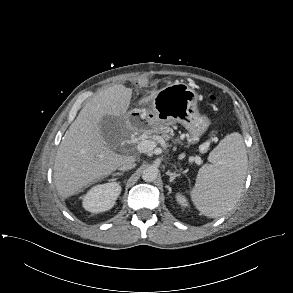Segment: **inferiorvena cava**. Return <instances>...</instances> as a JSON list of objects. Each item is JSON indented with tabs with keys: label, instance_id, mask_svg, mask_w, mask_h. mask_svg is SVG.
<instances>
[{
	"label": "inferior vena cava",
	"instance_id": "602c4592",
	"mask_svg": "<svg viewBox=\"0 0 293 293\" xmlns=\"http://www.w3.org/2000/svg\"><path fill=\"white\" fill-rule=\"evenodd\" d=\"M135 160L132 156H126L125 161L119 166V170L126 171L135 167Z\"/></svg>",
	"mask_w": 293,
	"mask_h": 293
}]
</instances>
